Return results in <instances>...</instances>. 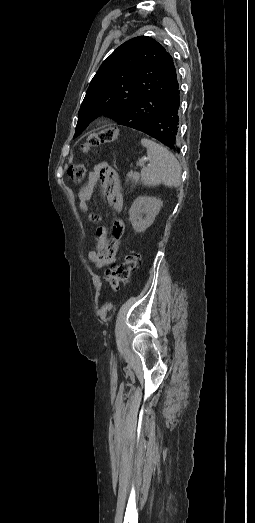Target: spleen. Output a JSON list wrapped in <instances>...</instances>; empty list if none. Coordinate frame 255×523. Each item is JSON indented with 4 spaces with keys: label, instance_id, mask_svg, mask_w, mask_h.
Masks as SVG:
<instances>
[{
    "label": "spleen",
    "instance_id": "spleen-1",
    "mask_svg": "<svg viewBox=\"0 0 255 523\" xmlns=\"http://www.w3.org/2000/svg\"><path fill=\"white\" fill-rule=\"evenodd\" d=\"M142 146L147 148L148 166L141 170L143 186H174L177 188L181 180V166L175 156L168 152L164 146H159L152 140L143 138Z\"/></svg>",
    "mask_w": 255,
    "mask_h": 523
}]
</instances>
